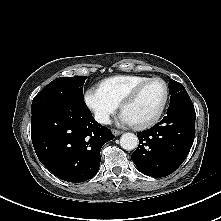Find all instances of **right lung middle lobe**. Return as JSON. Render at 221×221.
<instances>
[{"label":"right lung middle lobe","mask_w":221,"mask_h":221,"mask_svg":"<svg viewBox=\"0 0 221 221\" xmlns=\"http://www.w3.org/2000/svg\"><path fill=\"white\" fill-rule=\"evenodd\" d=\"M85 76L60 77L51 81L33 99L31 112L35 113L55 105L83 102Z\"/></svg>","instance_id":"right-lung-middle-lobe-1"}]
</instances>
